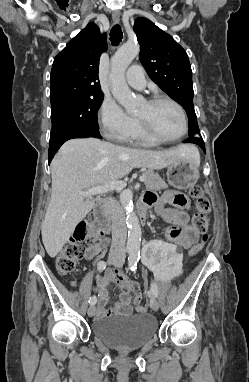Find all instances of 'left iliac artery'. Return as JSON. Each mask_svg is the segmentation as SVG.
Wrapping results in <instances>:
<instances>
[{"label":"left iliac artery","instance_id":"1","mask_svg":"<svg viewBox=\"0 0 249 382\" xmlns=\"http://www.w3.org/2000/svg\"><path fill=\"white\" fill-rule=\"evenodd\" d=\"M139 259H140V252H137V251L132 252L130 257L128 258L129 266H130L132 271H134V269H136L137 262L139 261ZM151 293L155 297L158 296V288H157V285L155 283L151 284Z\"/></svg>","mask_w":249,"mask_h":382}]
</instances>
